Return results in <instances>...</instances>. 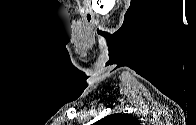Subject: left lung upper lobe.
Returning <instances> with one entry per match:
<instances>
[{
  "label": "left lung upper lobe",
  "instance_id": "5c2ea615",
  "mask_svg": "<svg viewBox=\"0 0 196 125\" xmlns=\"http://www.w3.org/2000/svg\"><path fill=\"white\" fill-rule=\"evenodd\" d=\"M137 121L122 113L111 114L97 122L99 125H134Z\"/></svg>",
  "mask_w": 196,
  "mask_h": 125
}]
</instances>
